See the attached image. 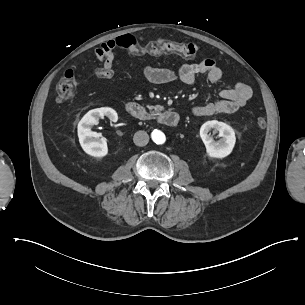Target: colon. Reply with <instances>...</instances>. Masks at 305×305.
Masks as SVG:
<instances>
[{"label": "colon", "mask_w": 305, "mask_h": 305, "mask_svg": "<svg viewBox=\"0 0 305 305\" xmlns=\"http://www.w3.org/2000/svg\"><path fill=\"white\" fill-rule=\"evenodd\" d=\"M118 45V53H123L127 51L137 52L138 41L133 36L132 33L126 32L119 35L115 39ZM150 53H179L187 58H193L197 55V46L193 43H174L165 42L160 45H152L150 48L144 49ZM103 63V61H102ZM97 77H111L113 75V70L105 68L104 64L102 67L98 68L95 72ZM78 87V81L73 71H67L59 80L56 86V96L57 100L68 101L72 99L76 93ZM256 124L259 128H264L266 126V120L263 116H258L256 118Z\"/></svg>", "instance_id": "colon-1"}]
</instances>
